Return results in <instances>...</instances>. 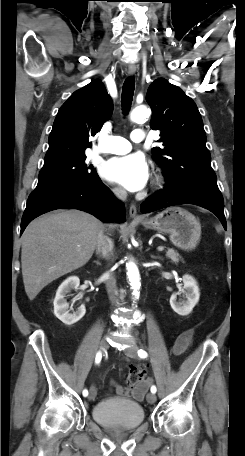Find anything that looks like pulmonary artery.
Instances as JSON below:
<instances>
[{
    "label": "pulmonary artery",
    "mask_w": 245,
    "mask_h": 456,
    "mask_svg": "<svg viewBox=\"0 0 245 456\" xmlns=\"http://www.w3.org/2000/svg\"><path fill=\"white\" fill-rule=\"evenodd\" d=\"M131 141L135 143L142 142L145 139V133L141 129H135L131 133ZM131 150V143L120 136L105 137L95 148L96 153L104 154H124Z\"/></svg>",
    "instance_id": "1"
}]
</instances>
